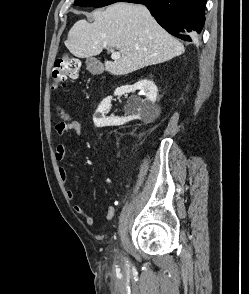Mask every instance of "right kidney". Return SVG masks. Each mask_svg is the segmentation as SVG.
Returning a JSON list of instances; mask_svg holds the SVG:
<instances>
[{"label":"right kidney","mask_w":249,"mask_h":294,"mask_svg":"<svg viewBox=\"0 0 249 294\" xmlns=\"http://www.w3.org/2000/svg\"><path fill=\"white\" fill-rule=\"evenodd\" d=\"M136 90H146V99H133L130 103L131 109L128 111L127 117L105 116L111 107L112 96H108L103 99L93 116L94 125L96 127L119 126L134 119H140L145 122L154 121L160 114V108L155 104L158 90L153 81L142 79L134 85L118 87L114 95L120 96L125 93L135 92Z\"/></svg>","instance_id":"ca27d5eb"}]
</instances>
